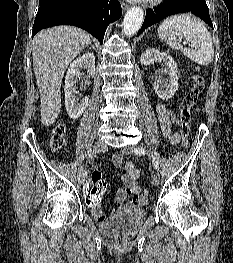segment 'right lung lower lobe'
I'll use <instances>...</instances> for the list:
<instances>
[{
  "instance_id": "right-lung-lower-lobe-1",
  "label": "right lung lower lobe",
  "mask_w": 233,
  "mask_h": 263,
  "mask_svg": "<svg viewBox=\"0 0 233 263\" xmlns=\"http://www.w3.org/2000/svg\"><path fill=\"white\" fill-rule=\"evenodd\" d=\"M121 14L118 0H52L39 7L32 37L44 28L74 25L102 42L109 23L118 20Z\"/></svg>"
}]
</instances>
